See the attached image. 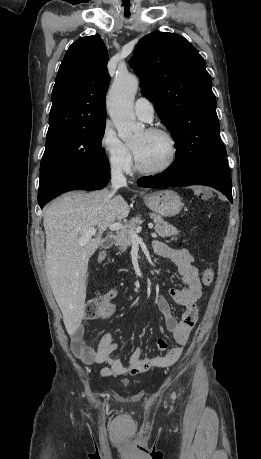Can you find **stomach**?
Here are the masks:
<instances>
[{"label":"stomach","mask_w":261,"mask_h":459,"mask_svg":"<svg viewBox=\"0 0 261 459\" xmlns=\"http://www.w3.org/2000/svg\"><path fill=\"white\" fill-rule=\"evenodd\" d=\"M144 201L153 212L164 217L176 216L183 207L180 196L170 189L147 194Z\"/></svg>","instance_id":"0dacf381"}]
</instances>
